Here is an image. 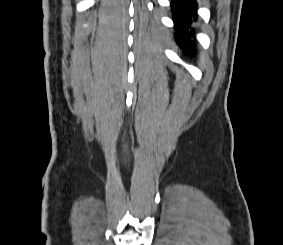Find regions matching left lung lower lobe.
<instances>
[{"label":"left lung lower lobe","instance_id":"0a47b994","mask_svg":"<svg viewBox=\"0 0 283 245\" xmlns=\"http://www.w3.org/2000/svg\"><path fill=\"white\" fill-rule=\"evenodd\" d=\"M171 7L177 27V42L181 46L190 44L189 28L192 20H196V0H171Z\"/></svg>","mask_w":283,"mask_h":245}]
</instances>
